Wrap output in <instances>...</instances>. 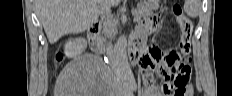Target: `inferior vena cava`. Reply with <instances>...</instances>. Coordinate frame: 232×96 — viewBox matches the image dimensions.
Returning <instances> with one entry per match:
<instances>
[{
    "label": "inferior vena cava",
    "mask_w": 232,
    "mask_h": 96,
    "mask_svg": "<svg viewBox=\"0 0 232 96\" xmlns=\"http://www.w3.org/2000/svg\"><path fill=\"white\" fill-rule=\"evenodd\" d=\"M107 53H108L110 56L113 55V50H112V45H111V44H108Z\"/></svg>",
    "instance_id": "602c4592"
}]
</instances>
